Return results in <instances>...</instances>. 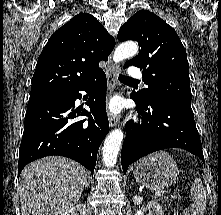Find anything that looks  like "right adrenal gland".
Instances as JSON below:
<instances>
[{"label": "right adrenal gland", "instance_id": "2a0ac1e0", "mask_svg": "<svg viewBox=\"0 0 221 215\" xmlns=\"http://www.w3.org/2000/svg\"><path fill=\"white\" fill-rule=\"evenodd\" d=\"M89 184H90V182H89V180H87V181H86V184H85V187H86V188H89Z\"/></svg>", "mask_w": 221, "mask_h": 215}]
</instances>
